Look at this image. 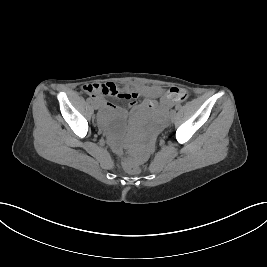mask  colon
Returning a JSON list of instances; mask_svg holds the SVG:
<instances>
[{"label":"colon","mask_w":267,"mask_h":267,"mask_svg":"<svg viewBox=\"0 0 267 267\" xmlns=\"http://www.w3.org/2000/svg\"><path fill=\"white\" fill-rule=\"evenodd\" d=\"M91 95L103 96L110 99L118 100L120 98L126 97L129 98V95L121 94L114 86L108 84H89ZM87 86V85H86ZM172 98L177 101H183L188 97L186 90L181 88H174L171 91ZM123 168L130 172L136 173L139 170V165L137 163H132L131 161L124 160L122 162Z\"/></svg>","instance_id":"obj_1"}]
</instances>
